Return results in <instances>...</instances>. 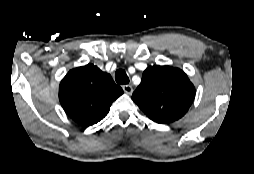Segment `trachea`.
Segmentation results:
<instances>
[{
    "instance_id": "3493384b",
    "label": "trachea",
    "mask_w": 254,
    "mask_h": 174,
    "mask_svg": "<svg viewBox=\"0 0 254 174\" xmlns=\"http://www.w3.org/2000/svg\"><path fill=\"white\" fill-rule=\"evenodd\" d=\"M115 81L118 84H128L129 83V77L127 76L126 72L124 70H117L115 73Z\"/></svg>"
}]
</instances>
